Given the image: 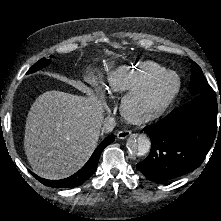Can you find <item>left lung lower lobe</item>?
I'll return each mask as SVG.
<instances>
[{"mask_svg":"<svg viewBox=\"0 0 221 221\" xmlns=\"http://www.w3.org/2000/svg\"><path fill=\"white\" fill-rule=\"evenodd\" d=\"M144 132L151 139V152L136 165L137 169L152 181L185 175L202 164L217 133L221 136L217 98L215 94L196 95L162 120L145 127Z\"/></svg>","mask_w":221,"mask_h":221,"instance_id":"1","label":"left lung lower lobe"}]
</instances>
